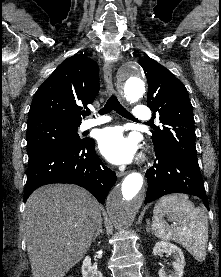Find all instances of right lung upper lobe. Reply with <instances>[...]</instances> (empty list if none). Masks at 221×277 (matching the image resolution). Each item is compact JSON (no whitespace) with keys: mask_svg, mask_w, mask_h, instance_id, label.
Here are the masks:
<instances>
[{"mask_svg":"<svg viewBox=\"0 0 221 277\" xmlns=\"http://www.w3.org/2000/svg\"><path fill=\"white\" fill-rule=\"evenodd\" d=\"M98 92L97 63L84 55L69 57L36 91L28 125L47 122L80 125L81 105L91 104Z\"/></svg>","mask_w":221,"mask_h":277,"instance_id":"cb5924a9","label":"right lung upper lobe"}]
</instances>
